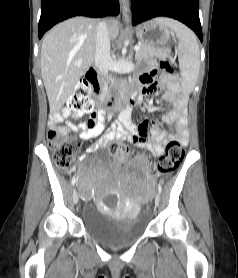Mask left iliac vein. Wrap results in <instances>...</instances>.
<instances>
[{"instance_id": "4c4485c4", "label": "left iliac vein", "mask_w": 238, "mask_h": 278, "mask_svg": "<svg viewBox=\"0 0 238 278\" xmlns=\"http://www.w3.org/2000/svg\"><path fill=\"white\" fill-rule=\"evenodd\" d=\"M160 202V195L157 193L155 196V205L158 206Z\"/></svg>"}]
</instances>
